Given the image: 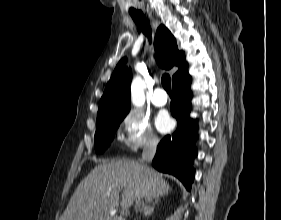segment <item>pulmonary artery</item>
I'll return each instance as SVG.
<instances>
[{
	"label": "pulmonary artery",
	"mask_w": 281,
	"mask_h": 220,
	"mask_svg": "<svg viewBox=\"0 0 281 220\" xmlns=\"http://www.w3.org/2000/svg\"><path fill=\"white\" fill-rule=\"evenodd\" d=\"M151 100L156 106H164L167 103V94L164 89L158 87L154 90Z\"/></svg>",
	"instance_id": "1"
}]
</instances>
